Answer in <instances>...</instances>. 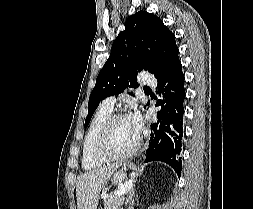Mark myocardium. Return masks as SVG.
I'll return each mask as SVG.
<instances>
[{
    "instance_id": "myocardium-1",
    "label": "myocardium",
    "mask_w": 253,
    "mask_h": 209,
    "mask_svg": "<svg viewBox=\"0 0 253 209\" xmlns=\"http://www.w3.org/2000/svg\"><path fill=\"white\" fill-rule=\"evenodd\" d=\"M123 118H126L124 113L111 114L101 127L96 142L95 152L102 160L122 161L134 156L139 151L141 146V137L139 135L135 146L126 153L114 154L108 149L111 128L118 120Z\"/></svg>"
}]
</instances>
